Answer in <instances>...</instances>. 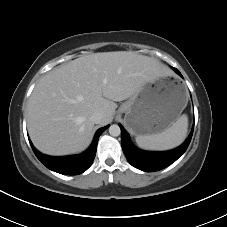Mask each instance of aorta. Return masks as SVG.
<instances>
[{
	"label": "aorta",
	"mask_w": 227,
	"mask_h": 227,
	"mask_svg": "<svg viewBox=\"0 0 227 227\" xmlns=\"http://www.w3.org/2000/svg\"><path fill=\"white\" fill-rule=\"evenodd\" d=\"M109 133L113 137L119 136L120 133H121L120 127L118 125H116V124L111 125L109 127Z\"/></svg>",
	"instance_id": "obj_1"
}]
</instances>
